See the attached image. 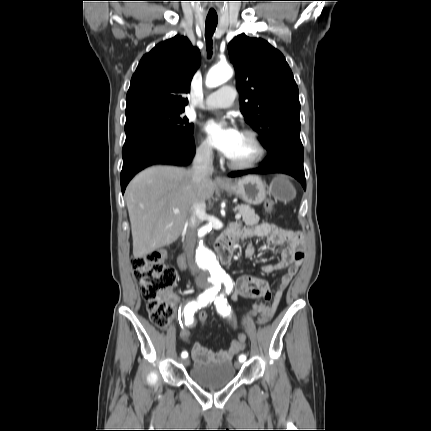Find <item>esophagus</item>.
Instances as JSON below:
<instances>
[{"label": "esophagus", "mask_w": 431, "mask_h": 431, "mask_svg": "<svg viewBox=\"0 0 431 431\" xmlns=\"http://www.w3.org/2000/svg\"><path fill=\"white\" fill-rule=\"evenodd\" d=\"M215 182L218 183V184H228L230 181L227 178H225V177L216 176L215 177Z\"/></svg>", "instance_id": "1"}]
</instances>
